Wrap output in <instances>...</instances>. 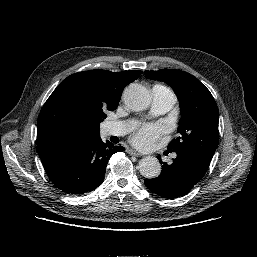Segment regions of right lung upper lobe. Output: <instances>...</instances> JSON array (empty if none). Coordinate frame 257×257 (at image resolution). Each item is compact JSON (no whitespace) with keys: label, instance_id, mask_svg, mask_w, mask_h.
<instances>
[{"label":"right lung upper lobe","instance_id":"cb5924a9","mask_svg":"<svg viewBox=\"0 0 257 257\" xmlns=\"http://www.w3.org/2000/svg\"><path fill=\"white\" fill-rule=\"evenodd\" d=\"M142 71L91 70L65 78L47 99L37 121V151L99 137L98 110L117 108L123 89Z\"/></svg>","mask_w":257,"mask_h":257}]
</instances>
